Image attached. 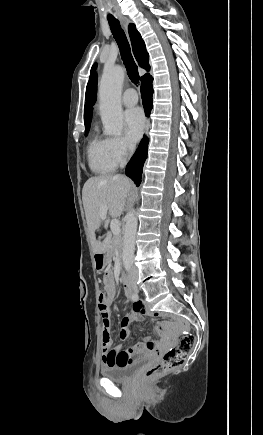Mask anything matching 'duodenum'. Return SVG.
I'll list each match as a JSON object with an SVG mask.
<instances>
[{
	"label": "duodenum",
	"instance_id": "410a0bca",
	"mask_svg": "<svg viewBox=\"0 0 263 435\" xmlns=\"http://www.w3.org/2000/svg\"><path fill=\"white\" fill-rule=\"evenodd\" d=\"M121 279H122V282H123V285H124L125 293H126V295L129 297L130 294H131V286H130V283H129V281H128L126 275H124V274H122Z\"/></svg>",
	"mask_w": 263,
	"mask_h": 435
}]
</instances>
